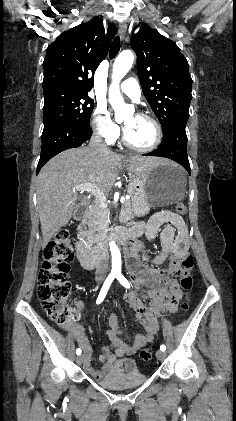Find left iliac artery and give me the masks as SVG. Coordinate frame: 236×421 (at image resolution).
I'll list each match as a JSON object with an SVG mask.
<instances>
[{
  "mask_svg": "<svg viewBox=\"0 0 236 421\" xmlns=\"http://www.w3.org/2000/svg\"><path fill=\"white\" fill-rule=\"evenodd\" d=\"M116 278L120 282V284L123 285L125 288H130L129 282L121 273H117ZM160 350L165 351L166 350L165 345H161Z\"/></svg>",
  "mask_w": 236,
  "mask_h": 421,
  "instance_id": "obj_1",
  "label": "left iliac artery"
}]
</instances>
